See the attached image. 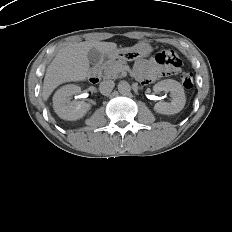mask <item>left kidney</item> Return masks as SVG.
<instances>
[{
  "label": "left kidney",
  "mask_w": 232,
  "mask_h": 232,
  "mask_svg": "<svg viewBox=\"0 0 232 232\" xmlns=\"http://www.w3.org/2000/svg\"><path fill=\"white\" fill-rule=\"evenodd\" d=\"M153 91L171 93V102H158L154 106L157 113L164 115H173L179 113L185 106L186 97L182 85L172 79L162 80L153 86Z\"/></svg>",
  "instance_id": "left-kidney-1"
}]
</instances>
